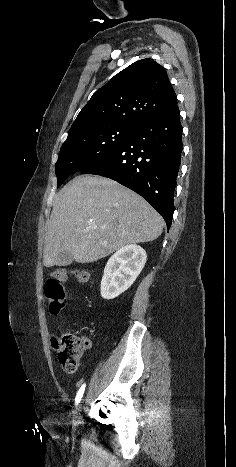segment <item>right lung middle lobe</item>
<instances>
[{
    "label": "right lung middle lobe",
    "instance_id": "obj_1",
    "mask_svg": "<svg viewBox=\"0 0 236 467\" xmlns=\"http://www.w3.org/2000/svg\"><path fill=\"white\" fill-rule=\"evenodd\" d=\"M135 130L113 125L68 135L55 165L57 187L69 175L92 166L114 152Z\"/></svg>",
    "mask_w": 236,
    "mask_h": 467
}]
</instances>
